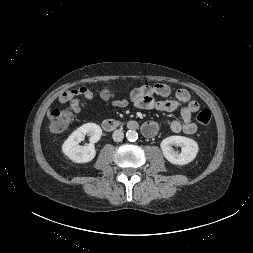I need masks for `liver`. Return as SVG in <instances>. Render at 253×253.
I'll use <instances>...</instances> for the list:
<instances>
[{
  "instance_id": "1",
  "label": "liver",
  "mask_w": 253,
  "mask_h": 253,
  "mask_svg": "<svg viewBox=\"0 0 253 253\" xmlns=\"http://www.w3.org/2000/svg\"><path fill=\"white\" fill-rule=\"evenodd\" d=\"M47 115H48V118L50 119L51 118L50 111L47 112Z\"/></svg>"
}]
</instances>
